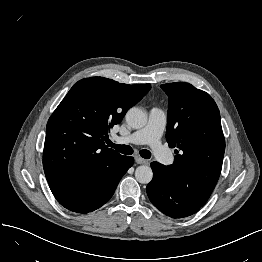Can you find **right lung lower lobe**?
Returning <instances> with one entry per match:
<instances>
[{"label":"right lung lower lobe","mask_w":262,"mask_h":262,"mask_svg":"<svg viewBox=\"0 0 262 262\" xmlns=\"http://www.w3.org/2000/svg\"><path fill=\"white\" fill-rule=\"evenodd\" d=\"M133 162V157L122 156L101 182L50 185V189L63 207L77 213H88L110 200L120 179Z\"/></svg>","instance_id":"98d812e1"}]
</instances>
